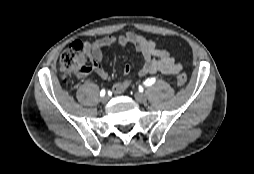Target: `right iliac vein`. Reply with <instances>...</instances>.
I'll use <instances>...</instances> for the list:
<instances>
[{
    "mask_svg": "<svg viewBox=\"0 0 254 174\" xmlns=\"http://www.w3.org/2000/svg\"><path fill=\"white\" fill-rule=\"evenodd\" d=\"M109 100H110V97H109V96H104V97H102V99H101V101H102L103 104L108 103Z\"/></svg>",
    "mask_w": 254,
    "mask_h": 174,
    "instance_id": "63e3f726",
    "label": "right iliac vein"
}]
</instances>
